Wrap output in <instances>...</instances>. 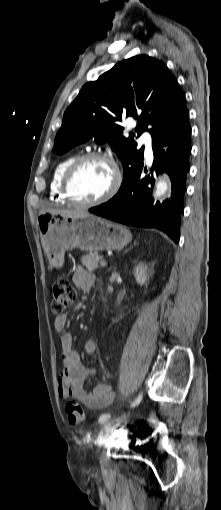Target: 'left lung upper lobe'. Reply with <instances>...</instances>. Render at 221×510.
Segmentation results:
<instances>
[{"instance_id":"5c2ea615","label":"left lung upper lobe","mask_w":221,"mask_h":510,"mask_svg":"<svg viewBox=\"0 0 221 510\" xmlns=\"http://www.w3.org/2000/svg\"><path fill=\"white\" fill-rule=\"evenodd\" d=\"M127 117L137 119L128 138L118 124ZM188 117L184 93L166 65L137 55L82 87L64 113L54 150L63 154L91 138L98 144L108 142L123 165L122 187L143 160L144 147L137 148L133 137L148 131L154 138Z\"/></svg>"}]
</instances>
